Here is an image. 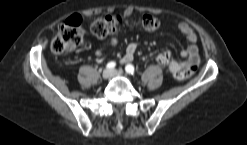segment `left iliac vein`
Returning <instances> with one entry per match:
<instances>
[{
	"label": "left iliac vein",
	"instance_id": "4c4485c4",
	"mask_svg": "<svg viewBox=\"0 0 247 145\" xmlns=\"http://www.w3.org/2000/svg\"><path fill=\"white\" fill-rule=\"evenodd\" d=\"M112 74H113V75H120V76H123V75H124V73H123L122 70H113V71H112Z\"/></svg>",
	"mask_w": 247,
	"mask_h": 145
}]
</instances>
